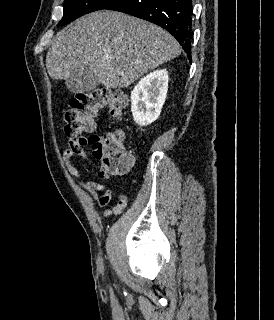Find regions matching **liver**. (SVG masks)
<instances>
[{"instance_id":"obj_1","label":"liver","mask_w":274,"mask_h":320,"mask_svg":"<svg viewBox=\"0 0 274 320\" xmlns=\"http://www.w3.org/2000/svg\"><path fill=\"white\" fill-rule=\"evenodd\" d=\"M181 48L166 30L122 12L100 10L82 16L50 42L46 68L53 80H73L93 72L109 88H128L138 78L180 56Z\"/></svg>"}]
</instances>
